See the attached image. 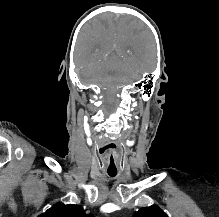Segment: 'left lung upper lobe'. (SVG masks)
Masks as SVG:
<instances>
[{"label": "left lung upper lobe", "instance_id": "5c2ea615", "mask_svg": "<svg viewBox=\"0 0 219 217\" xmlns=\"http://www.w3.org/2000/svg\"><path fill=\"white\" fill-rule=\"evenodd\" d=\"M133 217H168V215L158 206H150L139 209Z\"/></svg>", "mask_w": 219, "mask_h": 217}]
</instances>
